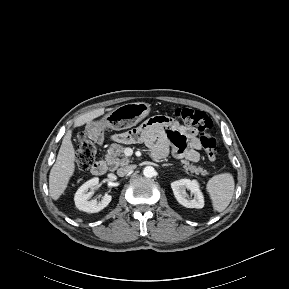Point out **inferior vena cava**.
Masks as SVG:
<instances>
[{
    "label": "inferior vena cava",
    "instance_id": "obj_1",
    "mask_svg": "<svg viewBox=\"0 0 289 289\" xmlns=\"http://www.w3.org/2000/svg\"><path fill=\"white\" fill-rule=\"evenodd\" d=\"M135 168H136L135 165L121 167L117 170V175L120 177H123L127 175L128 173H130L131 171H133Z\"/></svg>",
    "mask_w": 289,
    "mask_h": 289
}]
</instances>
